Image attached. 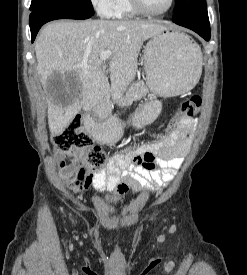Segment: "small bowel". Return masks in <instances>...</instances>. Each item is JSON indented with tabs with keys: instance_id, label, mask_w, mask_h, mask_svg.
I'll list each match as a JSON object with an SVG mask.
<instances>
[{
	"instance_id": "small-bowel-1",
	"label": "small bowel",
	"mask_w": 247,
	"mask_h": 275,
	"mask_svg": "<svg viewBox=\"0 0 247 275\" xmlns=\"http://www.w3.org/2000/svg\"><path fill=\"white\" fill-rule=\"evenodd\" d=\"M196 125V119L184 118L166 139L141 145L134 154H114L98 172L90 171L80 157L57 152L54 160L59 177L64 186L80 197L89 189L97 193L118 192L120 184L131 186L135 192L159 191L181 167Z\"/></svg>"
}]
</instances>
